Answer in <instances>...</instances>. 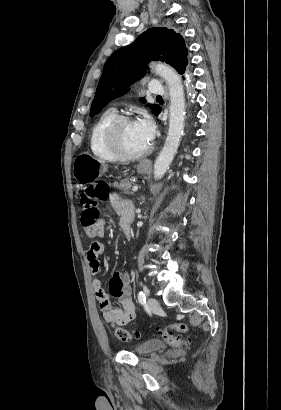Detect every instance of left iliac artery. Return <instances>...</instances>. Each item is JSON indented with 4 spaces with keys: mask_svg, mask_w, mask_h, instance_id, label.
Here are the masks:
<instances>
[{
    "mask_svg": "<svg viewBox=\"0 0 281 410\" xmlns=\"http://www.w3.org/2000/svg\"><path fill=\"white\" fill-rule=\"evenodd\" d=\"M138 301H139L140 304L146 303V296H145V293L143 291L138 292Z\"/></svg>",
    "mask_w": 281,
    "mask_h": 410,
    "instance_id": "44dca946",
    "label": "left iliac artery"
}]
</instances>
